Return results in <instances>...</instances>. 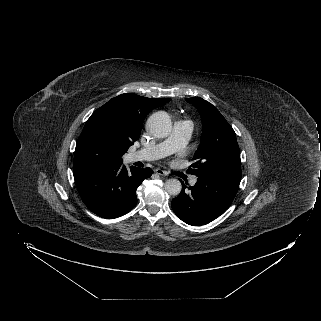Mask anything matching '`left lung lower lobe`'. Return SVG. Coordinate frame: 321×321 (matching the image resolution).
I'll use <instances>...</instances> for the list:
<instances>
[{
  "mask_svg": "<svg viewBox=\"0 0 321 321\" xmlns=\"http://www.w3.org/2000/svg\"><path fill=\"white\" fill-rule=\"evenodd\" d=\"M241 172H213L198 176L194 186L172 200V209L185 223L192 226L207 224L231 205L241 181Z\"/></svg>",
  "mask_w": 321,
  "mask_h": 321,
  "instance_id": "0a47b994",
  "label": "left lung lower lobe"
}]
</instances>
